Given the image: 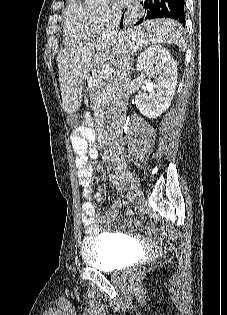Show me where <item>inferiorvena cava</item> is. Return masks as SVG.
I'll use <instances>...</instances> for the list:
<instances>
[{"mask_svg":"<svg viewBox=\"0 0 227 315\" xmlns=\"http://www.w3.org/2000/svg\"><path fill=\"white\" fill-rule=\"evenodd\" d=\"M121 19V10L112 8L110 21L102 34L104 37H114L118 33V27ZM130 64L124 60L121 67L117 70L115 77V88L111 103V125L108 133V146L111 155L122 152L121 134L126 118V109L129 98L130 86Z\"/></svg>","mask_w":227,"mask_h":315,"instance_id":"obj_1","label":"inferior vena cava"}]
</instances>
